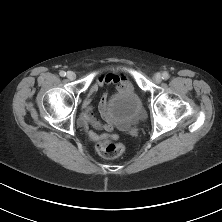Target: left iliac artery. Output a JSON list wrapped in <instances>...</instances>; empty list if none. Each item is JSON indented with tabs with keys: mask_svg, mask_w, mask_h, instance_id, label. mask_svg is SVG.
Here are the masks:
<instances>
[{
	"mask_svg": "<svg viewBox=\"0 0 222 222\" xmlns=\"http://www.w3.org/2000/svg\"><path fill=\"white\" fill-rule=\"evenodd\" d=\"M162 78L163 79H168L169 78V73L168 72H164L163 74H162Z\"/></svg>",
	"mask_w": 222,
	"mask_h": 222,
	"instance_id": "1",
	"label": "left iliac artery"
}]
</instances>
